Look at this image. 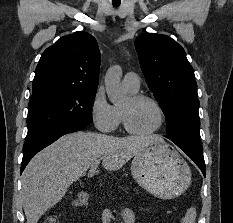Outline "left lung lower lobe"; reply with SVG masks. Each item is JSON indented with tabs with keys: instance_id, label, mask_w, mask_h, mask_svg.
Masks as SVG:
<instances>
[{
	"instance_id": "0a47b994",
	"label": "left lung lower lobe",
	"mask_w": 233,
	"mask_h": 223,
	"mask_svg": "<svg viewBox=\"0 0 233 223\" xmlns=\"http://www.w3.org/2000/svg\"><path fill=\"white\" fill-rule=\"evenodd\" d=\"M178 147H180L200 168L204 177L206 176V167L203 157V150L201 145H194L188 143H180L173 141Z\"/></svg>"
}]
</instances>
